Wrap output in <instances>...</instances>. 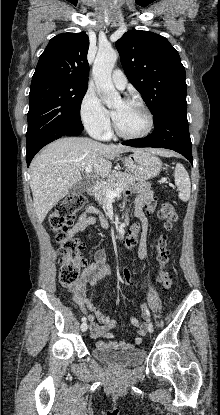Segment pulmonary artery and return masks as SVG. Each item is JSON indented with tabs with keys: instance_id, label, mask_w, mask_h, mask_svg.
<instances>
[{
	"instance_id": "obj_1",
	"label": "pulmonary artery",
	"mask_w": 220,
	"mask_h": 415,
	"mask_svg": "<svg viewBox=\"0 0 220 415\" xmlns=\"http://www.w3.org/2000/svg\"><path fill=\"white\" fill-rule=\"evenodd\" d=\"M112 81L115 85V87L119 90H123L127 85V78L124 75V73L117 69L112 73ZM108 137L102 138L107 139Z\"/></svg>"
}]
</instances>
